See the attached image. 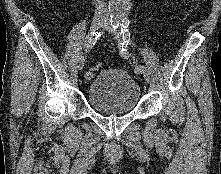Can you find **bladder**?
Wrapping results in <instances>:
<instances>
[{"label": "bladder", "instance_id": "31cf9c89", "mask_svg": "<svg viewBox=\"0 0 221 174\" xmlns=\"http://www.w3.org/2000/svg\"><path fill=\"white\" fill-rule=\"evenodd\" d=\"M86 96L94 111L105 115H123L137 107L141 89L138 82L124 69L109 68L92 78Z\"/></svg>", "mask_w": 221, "mask_h": 174}]
</instances>
